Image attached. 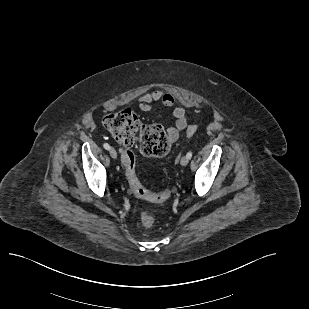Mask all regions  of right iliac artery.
Masks as SVG:
<instances>
[{
  "mask_svg": "<svg viewBox=\"0 0 309 309\" xmlns=\"http://www.w3.org/2000/svg\"><path fill=\"white\" fill-rule=\"evenodd\" d=\"M103 147L106 149V150H110V145L108 143H104Z\"/></svg>",
  "mask_w": 309,
  "mask_h": 309,
  "instance_id": "82829eb1",
  "label": "right iliac artery"
}]
</instances>
